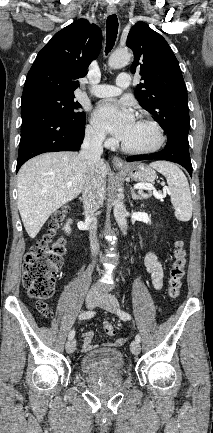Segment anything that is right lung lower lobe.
<instances>
[{"label": "right lung lower lobe", "instance_id": "right-lung-lower-lobe-1", "mask_svg": "<svg viewBox=\"0 0 213 433\" xmlns=\"http://www.w3.org/2000/svg\"><path fill=\"white\" fill-rule=\"evenodd\" d=\"M85 123L76 126L50 110L22 107V127L16 172L28 159L45 152L77 151L84 138Z\"/></svg>", "mask_w": 213, "mask_h": 433}]
</instances>
